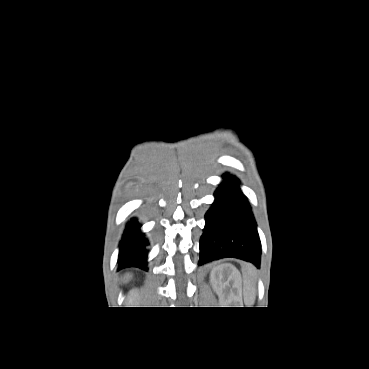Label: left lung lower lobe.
Here are the masks:
<instances>
[{
    "label": "left lung lower lobe",
    "instance_id": "0a47b994",
    "mask_svg": "<svg viewBox=\"0 0 369 369\" xmlns=\"http://www.w3.org/2000/svg\"><path fill=\"white\" fill-rule=\"evenodd\" d=\"M223 179L214 193L215 202L205 215L199 264L234 257L259 268L261 243L249 203L237 178L225 174Z\"/></svg>",
    "mask_w": 369,
    "mask_h": 369
}]
</instances>
